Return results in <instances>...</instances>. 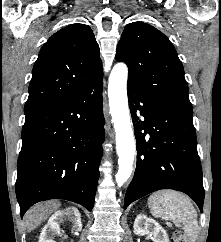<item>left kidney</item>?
Here are the masks:
<instances>
[{"instance_id":"5707ae66","label":"left kidney","mask_w":221,"mask_h":242,"mask_svg":"<svg viewBox=\"0 0 221 242\" xmlns=\"http://www.w3.org/2000/svg\"><path fill=\"white\" fill-rule=\"evenodd\" d=\"M134 233L138 236L153 235V242H169L168 235L161 225L144 214H139L134 221Z\"/></svg>"}]
</instances>
